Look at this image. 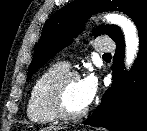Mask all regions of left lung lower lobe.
<instances>
[{
	"label": "left lung lower lobe",
	"mask_w": 147,
	"mask_h": 131,
	"mask_svg": "<svg viewBox=\"0 0 147 131\" xmlns=\"http://www.w3.org/2000/svg\"><path fill=\"white\" fill-rule=\"evenodd\" d=\"M140 50L132 69L123 72L124 39L116 41L113 82L100 106L84 124L109 131H147V22L138 30Z\"/></svg>",
	"instance_id": "1"
}]
</instances>
